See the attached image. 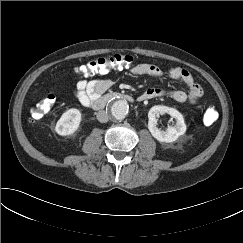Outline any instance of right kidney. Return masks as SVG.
<instances>
[{
  "label": "right kidney",
  "mask_w": 243,
  "mask_h": 243,
  "mask_svg": "<svg viewBox=\"0 0 243 243\" xmlns=\"http://www.w3.org/2000/svg\"><path fill=\"white\" fill-rule=\"evenodd\" d=\"M81 122V112L72 108L62 114L56 123L55 131L61 136L73 134Z\"/></svg>",
  "instance_id": "ca27d5eb"
}]
</instances>
